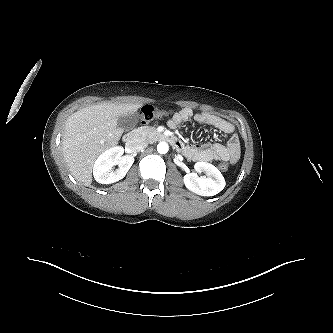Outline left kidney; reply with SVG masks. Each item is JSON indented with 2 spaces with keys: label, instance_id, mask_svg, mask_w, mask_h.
Returning <instances> with one entry per match:
<instances>
[{
  "label": "left kidney",
  "instance_id": "obj_1",
  "mask_svg": "<svg viewBox=\"0 0 333 333\" xmlns=\"http://www.w3.org/2000/svg\"><path fill=\"white\" fill-rule=\"evenodd\" d=\"M197 173L205 172L206 176L199 177L197 173H188L184 176L187 189L201 196H213L225 187V179L221 172L212 164L197 162L194 165Z\"/></svg>",
  "mask_w": 333,
  "mask_h": 333
}]
</instances>
